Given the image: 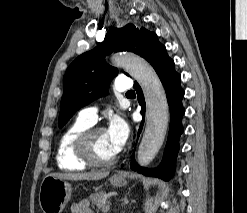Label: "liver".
I'll return each mask as SVG.
<instances>
[{
  "mask_svg": "<svg viewBox=\"0 0 247 213\" xmlns=\"http://www.w3.org/2000/svg\"><path fill=\"white\" fill-rule=\"evenodd\" d=\"M109 175V172L95 171L88 173H51L49 176L60 178L63 180H100Z\"/></svg>",
  "mask_w": 247,
  "mask_h": 213,
  "instance_id": "liver-1",
  "label": "liver"
}]
</instances>
